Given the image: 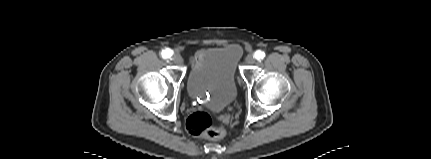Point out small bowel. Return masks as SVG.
<instances>
[{
  "label": "small bowel",
  "instance_id": "c3829d8e",
  "mask_svg": "<svg viewBox=\"0 0 431 159\" xmlns=\"http://www.w3.org/2000/svg\"><path fill=\"white\" fill-rule=\"evenodd\" d=\"M201 55H202V53H198V54L196 55V57H195V62H197V61L200 59Z\"/></svg>",
  "mask_w": 431,
  "mask_h": 159
}]
</instances>
